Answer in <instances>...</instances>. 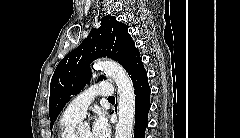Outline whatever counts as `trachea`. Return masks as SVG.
Instances as JSON below:
<instances>
[{
  "instance_id": "obj_1",
  "label": "trachea",
  "mask_w": 240,
  "mask_h": 138,
  "mask_svg": "<svg viewBox=\"0 0 240 138\" xmlns=\"http://www.w3.org/2000/svg\"><path fill=\"white\" fill-rule=\"evenodd\" d=\"M109 101H112V100H115V97L114 96H111L108 98Z\"/></svg>"
}]
</instances>
